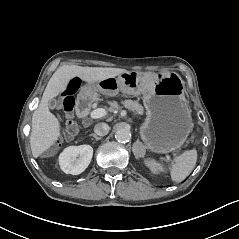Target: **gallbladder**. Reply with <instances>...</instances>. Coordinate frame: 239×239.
Masks as SVG:
<instances>
[{
	"label": "gallbladder",
	"mask_w": 239,
	"mask_h": 239,
	"mask_svg": "<svg viewBox=\"0 0 239 239\" xmlns=\"http://www.w3.org/2000/svg\"><path fill=\"white\" fill-rule=\"evenodd\" d=\"M48 107H49L50 109H55V108L57 107V101H56V99H50V100L48 101Z\"/></svg>",
	"instance_id": "1"
}]
</instances>
